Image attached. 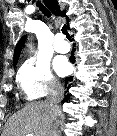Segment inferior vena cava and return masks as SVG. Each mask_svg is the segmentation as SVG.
<instances>
[{"mask_svg":"<svg viewBox=\"0 0 117 136\" xmlns=\"http://www.w3.org/2000/svg\"><path fill=\"white\" fill-rule=\"evenodd\" d=\"M64 90L63 87L60 84L54 85V90L50 94V96L47 99V102L52 106L54 104H57L61 99L63 98ZM47 124H46V136H57L56 127L54 124V113H51L52 111L49 109L47 111Z\"/></svg>","mask_w":117,"mask_h":136,"instance_id":"1","label":"inferior vena cava"}]
</instances>
